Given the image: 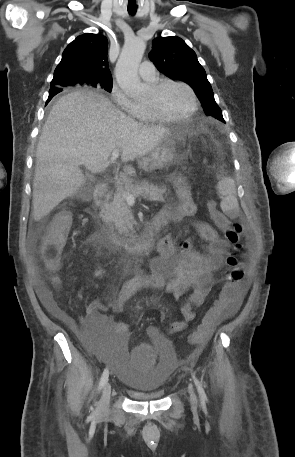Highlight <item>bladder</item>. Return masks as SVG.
<instances>
[{"instance_id": "31cf9c89", "label": "bladder", "mask_w": 295, "mask_h": 457, "mask_svg": "<svg viewBox=\"0 0 295 457\" xmlns=\"http://www.w3.org/2000/svg\"><path fill=\"white\" fill-rule=\"evenodd\" d=\"M90 356H99L101 365H110L118 379L129 393L137 399L156 400L165 396V386L170 378L169 369H177L178 361L172 360L173 348L164 342H157L155 348L161 354L157 366L143 374L135 371L127 338H87Z\"/></svg>"}]
</instances>
